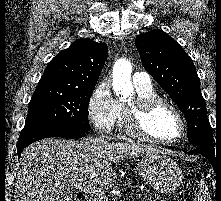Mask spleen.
<instances>
[{"label":"spleen","mask_w":221,"mask_h":201,"mask_svg":"<svg viewBox=\"0 0 221 201\" xmlns=\"http://www.w3.org/2000/svg\"><path fill=\"white\" fill-rule=\"evenodd\" d=\"M210 195L207 190V186L203 181H200L199 191L195 194L193 201H209Z\"/></svg>","instance_id":"spleen-1"}]
</instances>
